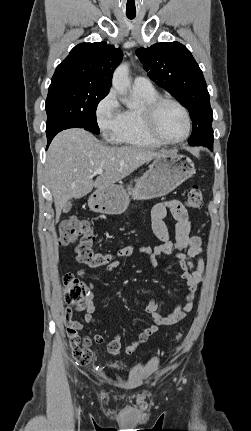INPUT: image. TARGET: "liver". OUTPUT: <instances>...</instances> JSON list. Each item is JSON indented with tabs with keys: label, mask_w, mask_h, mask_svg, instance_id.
I'll list each match as a JSON object with an SVG mask.
<instances>
[{
	"label": "liver",
	"mask_w": 251,
	"mask_h": 431,
	"mask_svg": "<svg viewBox=\"0 0 251 431\" xmlns=\"http://www.w3.org/2000/svg\"><path fill=\"white\" fill-rule=\"evenodd\" d=\"M167 152L139 146L110 147L92 133L78 128L58 133L50 144L45 165V176L54 199L56 223L63 207L72 198H82L93 188H108ZM99 168L103 169V173L93 181V171Z\"/></svg>",
	"instance_id": "1"
}]
</instances>
